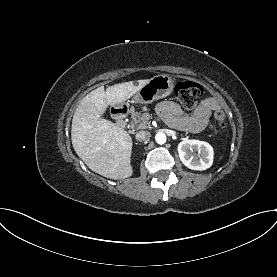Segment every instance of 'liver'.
I'll return each mask as SVG.
<instances>
[{
	"mask_svg": "<svg viewBox=\"0 0 277 277\" xmlns=\"http://www.w3.org/2000/svg\"><path fill=\"white\" fill-rule=\"evenodd\" d=\"M149 79L103 86L91 91L79 103L72 120L71 140L76 154L94 172L110 179L132 175V139L124 129L101 116L109 105L123 103Z\"/></svg>",
	"mask_w": 277,
	"mask_h": 277,
	"instance_id": "liver-1",
	"label": "liver"
}]
</instances>
